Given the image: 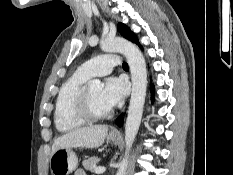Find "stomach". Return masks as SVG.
<instances>
[{
	"instance_id": "1",
	"label": "stomach",
	"mask_w": 233,
	"mask_h": 175,
	"mask_svg": "<svg viewBox=\"0 0 233 175\" xmlns=\"http://www.w3.org/2000/svg\"><path fill=\"white\" fill-rule=\"evenodd\" d=\"M113 143L119 141V137L109 135ZM78 165L76 154L70 148H61L56 150L50 158V169L52 175H69Z\"/></svg>"
}]
</instances>
